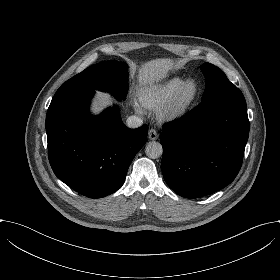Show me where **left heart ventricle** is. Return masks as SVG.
Returning a JSON list of instances; mask_svg holds the SVG:
<instances>
[{"instance_id": "left-heart-ventricle-1", "label": "left heart ventricle", "mask_w": 280, "mask_h": 280, "mask_svg": "<svg viewBox=\"0 0 280 280\" xmlns=\"http://www.w3.org/2000/svg\"><path fill=\"white\" fill-rule=\"evenodd\" d=\"M197 93V84L195 81H190L185 86L180 97V104H186L194 99Z\"/></svg>"}]
</instances>
